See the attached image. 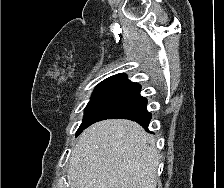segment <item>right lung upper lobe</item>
<instances>
[{
  "label": "right lung upper lobe",
  "mask_w": 224,
  "mask_h": 188,
  "mask_svg": "<svg viewBox=\"0 0 224 188\" xmlns=\"http://www.w3.org/2000/svg\"><path fill=\"white\" fill-rule=\"evenodd\" d=\"M106 80H126L127 81L126 75L123 73L111 76L107 78Z\"/></svg>",
  "instance_id": "obj_1"
}]
</instances>
